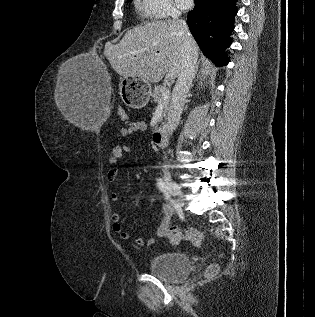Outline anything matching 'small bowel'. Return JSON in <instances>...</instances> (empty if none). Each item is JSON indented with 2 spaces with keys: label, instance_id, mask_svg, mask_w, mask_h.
<instances>
[{
  "label": "small bowel",
  "instance_id": "c3829d8e",
  "mask_svg": "<svg viewBox=\"0 0 315 317\" xmlns=\"http://www.w3.org/2000/svg\"><path fill=\"white\" fill-rule=\"evenodd\" d=\"M148 126L144 121H135L129 123L127 126L120 128L119 134L123 138L130 137L135 133H144L147 132ZM130 152V146L126 144L116 145L112 153L108 159V163L110 165H114L118 160L124 158ZM119 174V168L117 166L111 167L106 175V179L108 182H114ZM120 199V195L117 192H113L111 194V200L116 202ZM162 210L164 213V217L156 231L157 237L166 236V232L170 227V221L172 217V208L169 204L164 203L162 205ZM111 221H112V229L115 233L119 234V236L123 240H129L132 238V234L127 231L122 222L120 215L116 212L111 214ZM134 243L138 246L148 247L152 245L155 241V237H152L148 240L144 239L143 237H135L133 238Z\"/></svg>",
  "mask_w": 315,
  "mask_h": 317
}]
</instances>
